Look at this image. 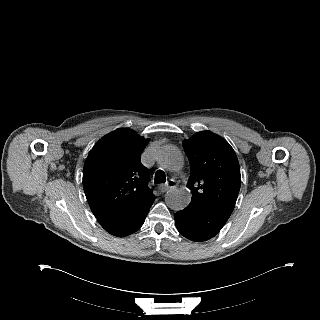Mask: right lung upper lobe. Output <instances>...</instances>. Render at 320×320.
I'll return each mask as SVG.
<instances>
[{
    "instance_id": "obj_1",
    "label": "right lung upper lobe",
    "mask_w": 320,
    "mask_h": 320,
    "mask_svg": "<svg viewBox=\"0 0 320 320\" xmlns=\"http://www.w3.org/2000/svg\"><path fill=\"white\" fill-rule=\"evenodd\" d=\"M148 142L123 128L103 137L91 150L83 169V188L99 223L153 204L149 171L140 162Z\"/></svg>"
}]
</instances>
